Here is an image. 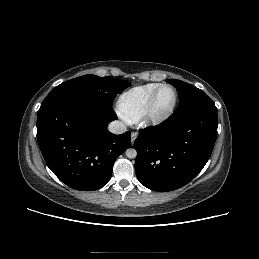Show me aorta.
Instances as JSON below:
<instances>
[{
  "mask_svg": "<svg viewBox=\"0 0 259 259\" xmlns=\"http://www.w3.org/2000/svg\"><path fill=\"white\" fill-rule=\"evenodd\" d=\"M137 155V151L135 149H127L126 150V156L128 158H135Z\"/></svg>",
  "mask_w": 259,
  "mask_h": 259,
  "instance_id": "aorta-1",
  "label": "aorta"
}]
</instances>
